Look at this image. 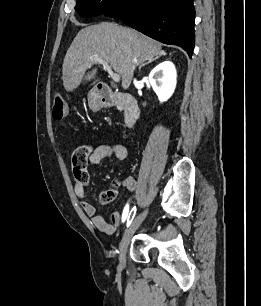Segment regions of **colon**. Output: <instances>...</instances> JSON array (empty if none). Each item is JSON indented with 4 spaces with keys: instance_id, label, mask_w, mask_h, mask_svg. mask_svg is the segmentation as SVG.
Returning a JSON list of instances; mask_svg holds the SVG:
<instances>
[{
    "instance_id": "5ec220e1",
    "label": "colon",
    "mask_w": 261,
    "mask_h": 306,
    "mask_svg": "<svg viewBox=\"0 0 261 306\" xmlns=\"http://www.w3.org/2000/svg\"><path fill=\"white\" fill-rule=\"evenodd\" d=\"M67 106L60 94H55L52 103V117L55 121H64L67 117ZM90 154V149L87 146H79L75 149L72 156V165L76 169H82L86 166ZM118 194L115 186L109 188V192L101 200L105 203L112 201Z\"/></svg>"
}]
</instances>
